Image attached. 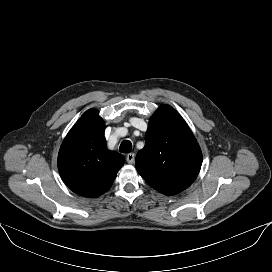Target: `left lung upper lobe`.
I'll use <instances>...</instances> for the list:
<instances>
[{"label": "left lung upper lobe", "instance_id": "5c2ea615", "mask_svg": "<svg viewBox=\"0 0 272 272\" xmlns=\"http://www.w3.org/2000/svg\"><path fill=\"white\" fill-rule=\"evenodd\" d=\"M136 169L153 189L171 196L188 188L202 165L201 149L187 123L169 105L151 117Z\"/></svg>", "mask_w": 272, "mask_h": 272}]
</instances>
